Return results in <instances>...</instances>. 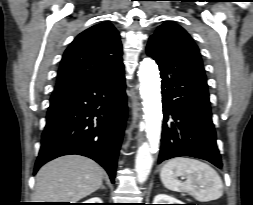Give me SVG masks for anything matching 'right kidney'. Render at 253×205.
<instances>
[{
  "instance_id": "obj_1",
  "label": "right kidney",
  "mask_w": 253,
  "mask_h": 205,
  "mask_svg": "<svg viewBox=\"0 0 253 205\" xmlns=\"http://www.w3.org/2000/svg\"><path fill=\"white\" fill-rule=\"evenodd\" d=\"M83 203H102V200L98 197L90 198Z\"/></svg>"
}]
</instances>
